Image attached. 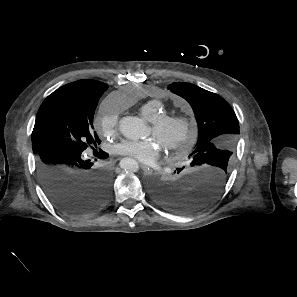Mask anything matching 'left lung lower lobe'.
I'll return each mask as SVG.
<instances>
[{"label":"left lung lower lobe","mask_w":297,"mask_h":297,"mask_svg":"<svg viewBox=\"0 0 297 297\" xmlns=\"http://www.w3.org/2000/svg\"><path fill=\"white\" fill-rule=\"evenodd\" d=\"M196 161L193 159L191 166L180 169L184 171L173 181L151 183V194L158 205L177 213H193L219 195L226 184L228 169L212 160Z\"/></svg>","instance_id":"0a47b994"}]
</instances>
